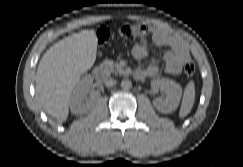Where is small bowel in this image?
<instances>
[{
    "mask_svg": "<svg viewBox=\"0 0 243 167\" xmlns=\"http://www.w3.org/2000/svg\"><path fill=\"white\" fill-rule=\"evenodd\" d=\"M153 42L158 46L167 47L163 56V64H151L146 68L139 69L136 73L138 78L156 77L160 72L175 75L181 72L183 64L189 59L186 44L177 36L163 29H154ZM136 60H142L147 55V42L145 39L137 41L131 50Z\"/></svg>",
    "mask_w": 243,
    "mask_h": 167,
    "instance_id": "c3829d8e",
    "label": "small bowel"
}]
</instances>
